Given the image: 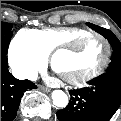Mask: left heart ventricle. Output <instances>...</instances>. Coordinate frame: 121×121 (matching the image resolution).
Instances as JSON below:
<instances>
[{
  "mask_svg": "<svg viewBox=\"0 0 121 121\" xmlns=\"http://www.w3.org/2000/svg\"><path fill=\"white\" fill-rule=\"evenodd\" d=\"M104 56V43L93 38L83 43L73 54H59L55 59V68L61 76L81 75L97 69L102 64Z\"/></svg>",
  "mask_w": 121,
  "mask_h": 121,
  "instance_id": "1",
  "label": "left heart ventricle"
}]
</instances>
